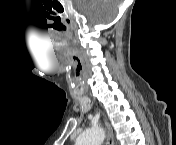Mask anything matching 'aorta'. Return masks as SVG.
<instances>
[{"instance_id":"1","label":"aorta","mask_w":176,"mask_h":145,"mask_svg":"<svg viewBox=\"0 0 176 145\" xmlns=\"http://www.w3.org/2000/svg\"><path fill=\"white\" fill-rule=\"evenodd\" d=\"M105 138V131L101 127H94L84 131L77 138V145H101Z\"/></svg>"}]
</instances>
